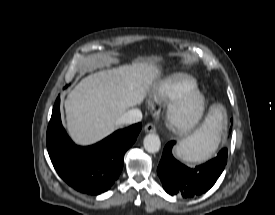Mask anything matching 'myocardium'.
<instances>
[{
	"instance_id": "myocardium-1",
	"label": "myocardium",
	"mask_w": 275,
	"mask_h": 215,
	"mask_svg": "<svg viewBox=\"0 0 275 215\" xmlns=\"http://www.w3.org/2000/svg\"><path fill=\"white\" fill-rule=\"evenodd\" d=\"M206 106V97L199 90L182 94L172 101L167 110L169 127L180 135L190 133L203 119Z\"/></svg>"
}]
</instances>
